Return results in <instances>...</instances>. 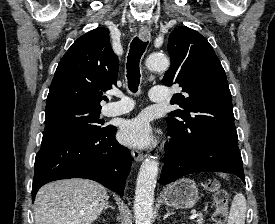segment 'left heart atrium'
Here are the masks:
<instances>
[{
  "instance_id": "left-heart-atrium-1",
  "label": "left heart atrium",
  "mask_w": 275,
  "mask_h": 224,
  "mask_svg": "<svg viewBox=\"0 0 275 224\" xmlns=\"http://www.w3.org/2000/svg\"><path fill=\"white\" fill-rule=\"evenodd\" d=\"M120 139L131 146H144L151 142L150 126L147 119L139 116L123 123L120 129Z\"/></svg>"
}]
</instances>
